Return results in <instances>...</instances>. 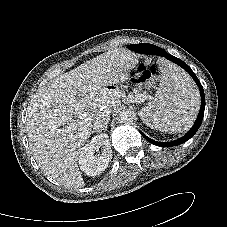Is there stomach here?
Masks as SVG:
<instances>
[{
	"label": "stomach",
	"instance_id": "obj_1",
	"mask_svg": "<svg viewBox=\"0 0 227 227\" xmlns=\"http://www.w3.org/2000/svg\"><path fill=\"white\" fill-rule=\"evenodd\" d=\"M109 92H111L116 98L120 97V91L117 86L110 85L106 87Z\"/></svg>",
	"mask_w": 227,
	"mask_h": 227
}]
</instances>
